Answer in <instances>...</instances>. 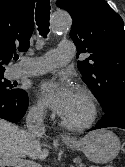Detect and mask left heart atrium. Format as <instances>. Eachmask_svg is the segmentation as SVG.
Returning <instances> with one entry per match:
<instances>
[{
    "label": "left heart atrium",
    "mask_w": 125,
    "mask_h": 167,
    "mask_svg": "<svg viewBox=\"0 0 125 167\" xmlns=\"http://www.w3.org/2000/svg\"><path fill=\"white\" fill-rule=\"evenodd\" d=\"M38 93L47 106L64 115L73 101L75 91L65 78H51L42 81Z\"/></svg>",
    "instance_id": "obj_1"
}]
</instances>
